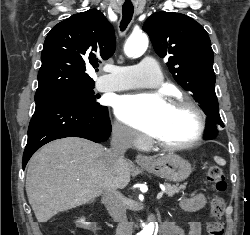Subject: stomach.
<instances>
[{
    "label": "stomach",
    "instance_id": "obj_1",
    "mask_svg": "<svg viewBox=\"0 0 250 235\" xmlns=\"http://www.w3.org/2000/svg\"><path fill=\"white\" fill-rule=\"evenodd\" d=\"M140 166L146 171L172 182H182L192 172L191 164L173 153L152 159L149 164H141Z\"/></svg>",
    "mask_w": 250,
    "mask_h": 235
}]
</instances>
